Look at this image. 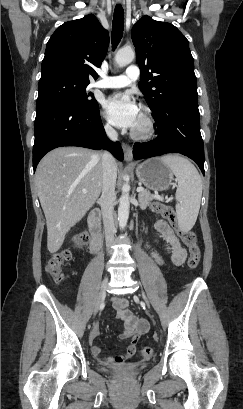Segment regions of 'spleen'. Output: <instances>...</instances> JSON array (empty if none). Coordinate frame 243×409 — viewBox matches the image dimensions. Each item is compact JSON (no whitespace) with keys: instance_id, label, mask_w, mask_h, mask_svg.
I'll use <instances>...</instances> for the list:
<instances>
[{"instance_id":"1","label":"spleen","mask_w":243,"mask_h":409,"mask_svg":"<svg viewBox=\"0 0 243 409\" xmlns=\"http://www.w3.org/2000/svg\"><path fill=\"white\" fill-rule=\"evenodd\" d=\"M176 176V215L183 232L194 226L200 209L202 180L195 166L180 155H165L161 158Z\"/></svg>"}]
</instances>
